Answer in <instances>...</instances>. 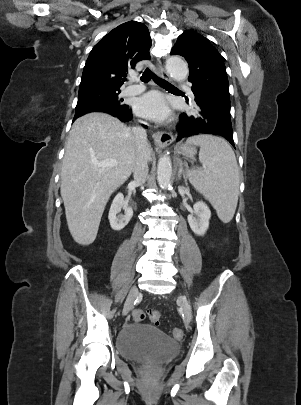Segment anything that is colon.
I'll use <instances>...</instances> for the list:
<instances>
[{
	"instance_id": "5ec220e1",
	"label": "colon",
	"mask_w": 301,
	"mask_h": 405,
	"mask_svg": "<svg viewBox=\"0 0 301 405\" xmlns=\"http://www.w3.org/2000/svg\"><path fill=\"white\" fill-rule=\"evenodd\" d=\"M132 317L134 321L141 322L146 318V313L141 309H136L133 311ZM149 320L154 324H159L161 320V313L157 310H152L148 313ZM172 335L176 339H181L183 337V331L179 328H175L172 331Z\"/></svg>"
}]
</instances>
